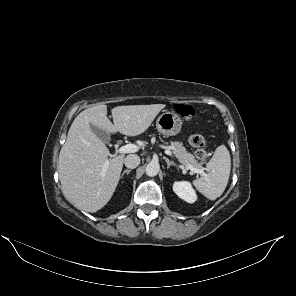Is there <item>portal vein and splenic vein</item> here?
Returning a JSON list of instances; mask_svg holds the SVG:
<instances>
[{
    "label": "portal vein and splenic vein",
    "mask_w": 296,
    "mask_h": 296,
    "mask_svg": "<svg viewBox=\"0 0 296 296\" xmlns=\"http://www.w3.org/2000/svg\"><path fill=\"white\" fill-rule=\"evenodd\" d=\"M138 151V146L135 145V144H127V145H124L122 147H120L117 152L118 153H122V154H126V153H134V152H137ZM165 153L167 155H169L170 157H174L172 152L169 151V150H165ZM109 165V161L107 160L104 164V168H107ZM186 169L187 170H191L192 173H198V174H203L204 171L202 169H197V168H194L190 165L186 166Z\"/></svg>",
    "instance_id": "obj_1"
}]
</instances>
